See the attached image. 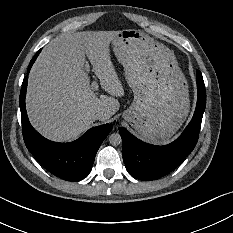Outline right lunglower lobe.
Segmentation results:
<instances>
[{
    "label": "right lung lower lobe",
    "instance_id": "obj_1",
    "mask_svg": "<svg viewBox=\"0 0 233 233\" xmlns=\"http://www.w3.org/2000/svg\"><path fill=\"white\" fill-rule=\"evenodd\" d=\"M40 51L32 58L27 74ZM27 80L28 76L23 80L19 97L23 138L26 147L37 161L52 174L67 181H79L85 178L92 168L101 143L113 125L105 124L91 128L82 137L71 143H56L47 140L34 130L28 120L25 109Z\"/></svg>",
    "mask_w": 233,
    "mask_h": 233
}]
</instances>
